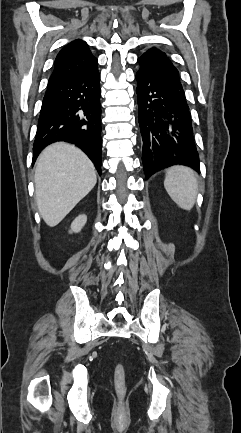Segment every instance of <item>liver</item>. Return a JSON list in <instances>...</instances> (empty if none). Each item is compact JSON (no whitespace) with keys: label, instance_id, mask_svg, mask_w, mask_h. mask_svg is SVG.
I'll return each mask as SVG.
<instances>
[{"label":"liver","instance_id":"obj_1","mask_svg":"<svg viewBox=\"0 0 241 433\" xmlns=\"http://www.w3.org/2000/svg\"><path fill=\"white\" fill-rule=\"evenodd\" d=\"M34 182L38 211L54 227L93 189L97 178L93 163L79 148L60 142L39 155Z\"/></svg>","mask_w":241,"mask_h":433}]
</instances>
